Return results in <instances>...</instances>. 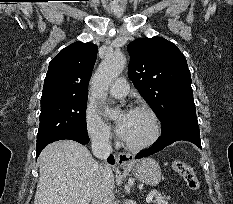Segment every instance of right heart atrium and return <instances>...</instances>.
Instances as JSON below:
<instances>
[{"label": "right heart atrium", "instance_id": "1", "mask_svg": "<svg viewBox=\"0 0 233 204\" xmlns=\"http://www.w3.org/2000/svg\"><path fill=\"white\" fill-rule=\"evenodd\" d=\"M84 121L86 133L94 144L107 146L111 143L112 131L93 107L86 108Z\"/></svg>", "mask_w": 233, "mask_h": 204}]
</instances>
